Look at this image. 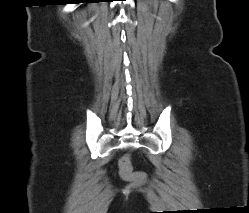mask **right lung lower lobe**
<instances>
[{
	"instance_id": "obj_1",
	"label": "right lung lower lobe",
	"mask_w": 249,
	"mask_h": 213,
	"mask_svg": "<svg viewBox=\"0 0 249 213\" xmlns=\"http://www.w3.org/2000/svg\"><path fill=\"white\" fill-rule=\"evenodd\" d=\"M72 1H74V3H78V4H79V2H80V1H78V0H72Z\"/></svg>"
}]
</instances>
